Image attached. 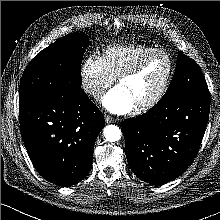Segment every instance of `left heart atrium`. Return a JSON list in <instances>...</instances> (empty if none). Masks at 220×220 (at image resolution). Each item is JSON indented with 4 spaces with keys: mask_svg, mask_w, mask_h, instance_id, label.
<instances>
[{
    "mask_svg": "<svg viewBox=\"0 0 220 220\" xmlns=\"http://www.w3.org/2000/svg\"><path fill=\"white\" fill-rule=\"evenodd\" d=\"M103 106L113 114H127L135 108L131 96L121 87L110 90L102 100Z\"/></svg>",
    "mask_w": 220,
    "mask_h": 220,
    "instance_id": "39dd6f15",
    "label": "left heart atrium"
}]
</instances>
